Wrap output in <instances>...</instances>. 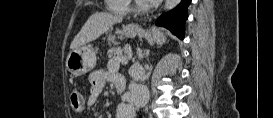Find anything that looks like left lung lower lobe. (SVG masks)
Returning a JSON list of instances; mask_svg holds the SVG:
<instances>
[{"label":"left lung lower lobe","mask_w":273,"mask_h":118,"mask_svg":"<svg viewBox=\"0 0 273 118\" xmlns=\"http://www.w3.org/2000/svg\"><path fill=\"white\" fill-rule=\"evenodd\" d=\"M190 3L191 0H182L174 9L161 15L155 24L169 29L179 39H184L185 22L188 19L187 7Z\"/></svg>","instance_id":"0a47b994"}]
</instances>
